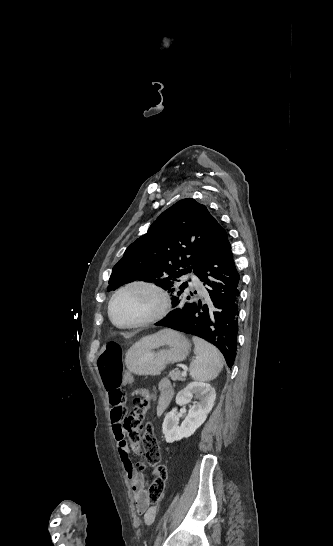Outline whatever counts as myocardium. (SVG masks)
Returning <instances> with one entry per match:
<instances>
[{
  "label": "myocardium",
  "mask_w": 333,
  "mask_h": 546,
  "mask_svg": "<svg viewBox=\"0 0 333 546\" xmlns=\"http://www.w3.org/2000/svg\"><path fill=\"white\" fill-rule=\"evenodd\" d=\"M136 288L146 289L151 291L157 298L156 307L149 315H147L146 317L136 322H133L130 324H120L116 322L112 314V307L114 302L125 291L130 289H136ZM169 306H170V300H169L168 294L160 285L149 280H133L122 285L113 293L108 303L107 312H108V317L111 323L115 327L119 329H139V328H143L151 324H154L160 321L161 319H163L168 313Z\"/></svg>",
  "instance_id": "myocardium-1"
}]
</instances>
